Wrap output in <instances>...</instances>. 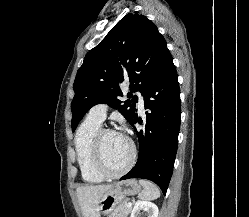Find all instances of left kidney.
I'll use <instances>...</instances> for the list:
<instances>
[{
    "instance_id": "1",
    "label": "left kidney",
    "mask_w": 249,
    "mask_h": 217,
    "mask_svg": "<svg viewBox=\"0 0 249 217\" xmlns=\"http://www.w3.org/2000/svg\"><path fill=\"white\" fill-rule=\"evenodd\" d=\"M145 211L147 217H158V207L153 202L138 200L132 209L130 217H137L140 211Z\"/></svg>"
}]
</instances>
